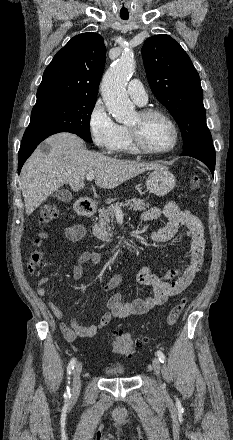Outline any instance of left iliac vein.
Instances as JSON below:
<instances>
[{"label": "left iliac vein", "mask_w": 233, "mask_h": 440, "mask_svg": "<svg viewBox=\"0 0 233 440\" xmlns=\"http://www.w3.org/2000/svg\"><path fill=\"white\" fill-rule=\"evenodd\" d=\"M152 365H153V369H154L155 374L159 377L160 369H161V363H160L159 359L156 357L153 358ZM160 386L162 389L164 388V385L161 381H160Z\"/></svg>", "instance_id": "left-iliac-vein-1"}]
</instances>
